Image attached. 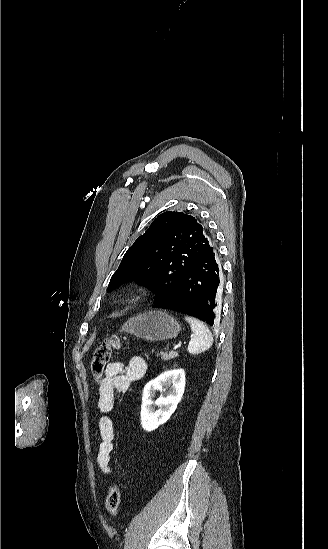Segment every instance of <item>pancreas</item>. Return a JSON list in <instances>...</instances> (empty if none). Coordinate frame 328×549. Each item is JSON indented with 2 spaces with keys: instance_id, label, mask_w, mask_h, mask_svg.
Wrapping results in <instances>:
<instances>
[{
  "instance_id": "obj_1",
  "label": "pancreas",
  "mask_w": 328,
  "mask_h": 549,
  "mask_svg": "<svg viewBox=\"0 0 328 549\" xmlns=\"http://www.w3.org/2000/svg\"><path fill=\"white\" fill-rule=\"evenodd\" d=\"M159 355L162 361H169V359H175V357H178V353H175V351H170V353H158V357Z\"/></svg>"
}]
</instances>
